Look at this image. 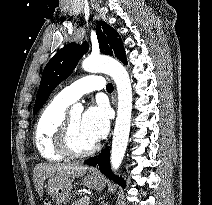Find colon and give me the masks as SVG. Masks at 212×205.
<instances>
[{"mask_svg":"<svg viewBox=\"0 0 212 205\" xmlns=\"http://www.w3.org/2000/svg\"><path fill=\"white\" fill-rule=\"evenodd\" d=\"M44 205H52L49 201H46Z\"/></svg>","mask_w":212,"mask_h":205,"instance_id":"1","label":"colon"}]
</instances>
